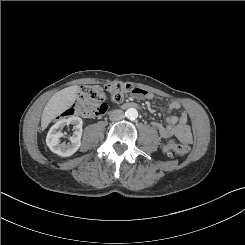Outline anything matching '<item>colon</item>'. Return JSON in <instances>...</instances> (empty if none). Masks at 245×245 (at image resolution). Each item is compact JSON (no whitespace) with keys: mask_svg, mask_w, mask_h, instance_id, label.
<instances>
[{"mask_svg":"<svg viewBox=\"0 0 245 245\" xmlns=\"http://www.w3.org/2000/svg\"><path fill=\"white\" fill-rule=\"evenodd\" d=\"M105 91L109 93L110 99L116 103L122 102L130 95L141 92L140 89L124 83H110L104 88L98 85H84L81 86L76 101L62 113L61 117L77 115L95 118L104 115L107 111ZM189 149L187 142L179 143L175 140H170L164 146V151L169 155L184 156L189 152Z\"/></svg>","mask_w":245,"mask_h":245,"instance_id":"1","label":"colon"}]
</instances>
